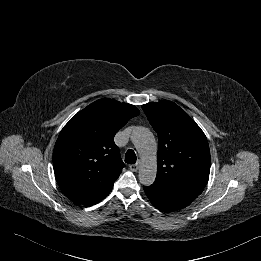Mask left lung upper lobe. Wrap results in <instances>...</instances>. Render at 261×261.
Listing matches in <instances>:
<instances>
[{"instance_id": "left-lung-upper-lobe-1", "label": "left lung upper lobe", "mask_w": 261, "mask_h": 261, "mask_svg": "<svg viewBox=\"0 0 261 261\" xmlns=\"http://www.w3.org/2000/svg\"><path fill=\"white\" fill-rule=\"evenodd\" d=\"M142 109L159 140L154 183L199 195L210 173L205 134L174 102L147 103Z\"/></svg>"}]
</instances>
